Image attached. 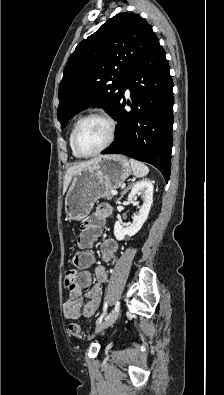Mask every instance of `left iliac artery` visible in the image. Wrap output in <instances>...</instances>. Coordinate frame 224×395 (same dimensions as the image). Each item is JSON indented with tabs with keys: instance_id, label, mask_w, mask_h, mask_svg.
Returning a JSON list of instances; mask_svg holds the SVG:
<instances>
[{
	"instance_id": "obj_1",
	"label": "left iliac artery",
	"mask_w": 224,
	"mask_h": 395,
	"mask_svg": "<svg viewBox=\"0 0 224 395\" xmlns=\"http://www.w3.org/2000/svg\"><path fill=\"white\" fill-rule=\"evenodd\" d=\"M119 308H120V303L117 302V303L115 304V307H114V310L112 311V313H110L106 318H108V317H109L111 314H113L115 311L119 310ZM106 309H107V305L104 306L103 313H102L101 316H100V320L104 317V313H105Z\"/></svg>"
}]
</instances>
